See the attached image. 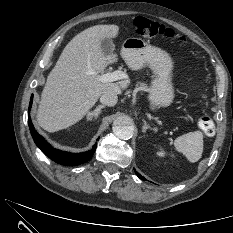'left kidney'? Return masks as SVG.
I'll return each mask as SVG.
<instances>
[{"instance_id":"1","label":"left kidney","mask_w":233,"mask_h":233,"mask_svg":"<svg viewBox=\"0 0 233 233\" xmlns=\"http://www.w3.org/2000/svg\"><path fill=\"white\" fill-rule=\"evenodd\" d=\"M157 155L160 157H164L166 155V153L163 150H160L157 152Z\"/></svg>"}]
</instances>
